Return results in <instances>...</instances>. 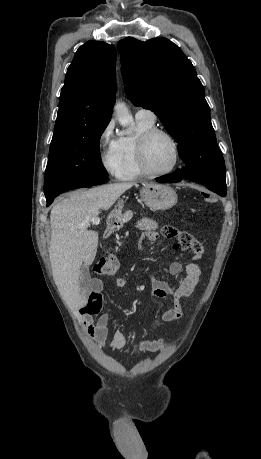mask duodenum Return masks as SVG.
Wrapping results in <instances>:
<instances>
[{"label":"duodenum","mask_w":261,"mask_h":459,"mask_svg":"<svg viewBox=\"0 0 261 459\" xmlns=\"http://www.w3.org/2000/svg\"><path fill=\"white\" fill-rule=\"evenodd\" d=\"M116 230L114 225H108L106 230V237H109Z\"/></svg>","instance_id":"duodenum-1"}]
</instances>
